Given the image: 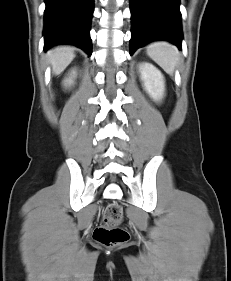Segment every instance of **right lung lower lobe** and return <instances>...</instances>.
<instances>
[{
	"label": "right lung lower lobe",
	"instance_id": "98d812e1",
	"mask_svg": "<svg viewBox=\"0 0 231 281\" xmlns=\"http://www.w3.org/2000/svg\"><path fill=\"white\" fill-rule=\"evenodd\" d=\"M44 49L72 44L91 55L93 0H45Z\"/></svg>",
	"mask_w": 231,
	"mask_h": 281
}]
</instances>
